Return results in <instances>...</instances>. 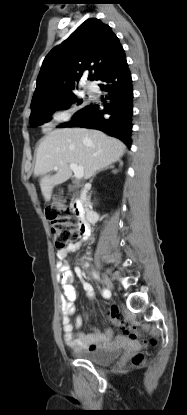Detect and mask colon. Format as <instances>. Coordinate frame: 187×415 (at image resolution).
Instances as JSON below:
<instances>
[{"instance_id": "colon-1", "label": "colon", "mask_w": 187, "mask_h": 415, "mask_svg": "<svg viewBox=\"0 0 187 415\" xmlns=\"http://www.w3.org/2000/svg\"><path fill=\"white\" fill-rule=\"evenodd\" d=\"M50 220L52 233L54 235V245L57 250H64L74 245L80 238V226L78 220L73 216L68 205L63 201L54 203L47 211ZM109 318L114 326H116L123 334L132 339L139 337L138 332L126 321L122 313L116 309L109 310ZM149 346H155L157 340L149 338L146 341ZM143 356L136 354L132 358V363L138 365L142 362Z\"/></svg>"}]
</instances>
